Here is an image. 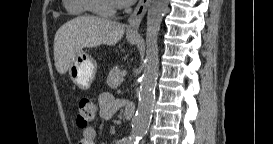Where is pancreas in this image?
<instances>
[{
    "mask_svg": "<svg viewBox=\"0 0 273 144\" xmlns=\"http://www.w3.org/2000/svg\"><path fill=\"white\" fill-rule=\"evenodd\" d=\"M121 72L122 70L118 67H113L108 76H107V84L111 87V88H117L122 82H123V78L121 76Z\"/></svg>",
    "mask_w": 273,
    "mask_h": 144,
    "instance_id": "pancreas-1",
    "label": "pancreas"
}]
</instances>
